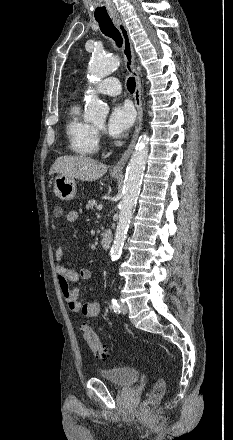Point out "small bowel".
<instances>
[{"label":"small bowel","mask_w":233,"mask_h":440,"mask_svg":"<svg viewBox=\"0 0 233 440\" xmlns=\"http://www.w3.org/2000/svg\"><path fill=\"white\" fill-rule=\"evenodd\" d=\"M79 218V213L76 210H71L66 215L68 222H75ZM64 250L58 247L55 251V269L58 276V282L62 295L71 312L81 313L86 317H97L100 314V305L97 302L80 301V292L71 284L77 283L80 280H90L92 278V271L87 268L80 270L69 269L62 264Z\"/></svg>","instance_id":"small-bowel-1"}]
</instances>
